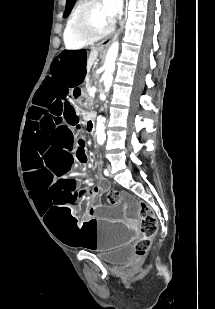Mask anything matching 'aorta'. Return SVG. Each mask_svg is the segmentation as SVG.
<instances>
[{"instance_id": "762f6f07", "label": "aorta", "mask_w": 215, "mask_h": 309, "mask_svg": "<svg viewBox=\"0 0 215 309\" xmlns=\"http://www.w3.org/2000/svg\"><path fill=\"white\" fill-rule=\"evenodd\" d=\"M118 50H119V42L118 40H114V42L110 44L107 50V54H106V58L104 62L105 70L102 74L104 88H107V90H109L110 86H112L113 72L115 70V60L118 54ZM104 128L105 126H104L103 118L102 116H100L96 124V134H97L98 144H104V140L106 138Z\"/></svg>"}]
</instances>
